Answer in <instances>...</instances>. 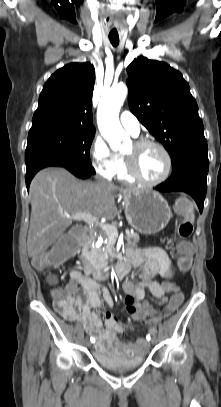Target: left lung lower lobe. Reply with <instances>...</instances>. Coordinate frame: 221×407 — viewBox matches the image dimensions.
Returning <instances> with one entry per match:
<instances>
[{
  "label": "left lung lower lobe",
  "instance_id": "0a47b994",
  "mask_svg": "<svg viewBox=\"0 0 221 407\" xmlns=\"http://www.w3.org/2000/svg\"><path fill=\"white\" fill-rule=\"evenodd\" d=\"M207 151V148L193 149L182 155L172 165L170 178L156 186L155 189L161 192H186L195 199L200 212H202L209 168Z\"/></svg>",
  "mask_w": 221,
  "mask_h": 407
}]
</instances>
